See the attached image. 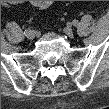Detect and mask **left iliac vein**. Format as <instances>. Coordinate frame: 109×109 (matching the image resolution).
<instances>
[{
  "label": "left iliac vein",
  "mask_w": 109,
  "mask_h": 109,
  "mask_svg": "<svg viewBox=\"0 0 109 109\" xmlns=\"http://www.w3.org/2000/svg\"><path fill=\"white\" fill-rule=\"evenodd\" d=\"M64 33L68 36V37H73V30L71 27L67 26L64 28Z\"/></svg>",
  "instance_id": "4c4485c4"
}]
</instances>
